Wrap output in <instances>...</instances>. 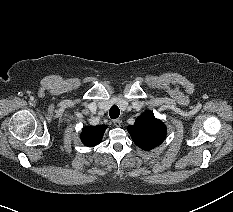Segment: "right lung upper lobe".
Here are the masks:
<instances>
[{
    "label": "right lung upper lobe",
    "instance_id": "obj_1",
    "mask_svg": "<svg viewBox=\"0 0 233 212\" xmlns=\"http://www.w3.org/2000/svg\"><path fill=\"white\" fill-rule=\"evenodd\" d=\"M106 128V125L85 127L81 134L82 143L88 147L98 145L102 140Z\"/></svg>",
    "mask_w": 233,
    "mask_h": 212
}]
</instances>
